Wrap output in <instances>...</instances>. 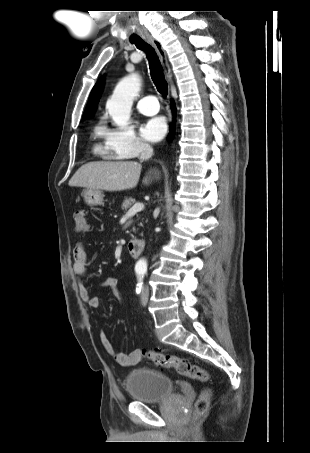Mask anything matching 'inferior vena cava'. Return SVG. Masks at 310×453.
I'll use <instances>...</instances> for the list:
<instances>
[{"instance_id":"inferior-vena-cava-1","label":"inferior vena cava","mask_w":310,"mask_h":453,"mask_svg":"<svg viewBox=\"0 0 310 453\" xmlns=\"http://www.w3.org/2000/svg\"><path fill=\"white\" fill-rule=\"evenodd\" d=\"M153 155V148L148 145V144H144L142 146V152H141V155H140V160L141 161H144V160H148L149 158H151Z\"/></svg>"}]
</instances>
